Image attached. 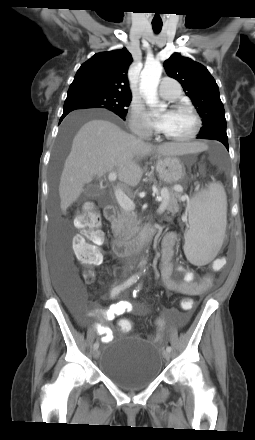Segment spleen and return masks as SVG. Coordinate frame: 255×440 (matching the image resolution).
<instances>
[{
  "label": "spleen",
  "instance_id": "3e777b00",
  "mask_svg": "<svg viewBox=\"0 0 255 440\" xmlns=\"http://www.w3.org/2000/svg\"><path fill=\"white\" fill-rule=\"evenodd\" d=\"M190 227L185 233L184 252L195 265L209 263L222 246L227 224V200L223 187L211 183L199 192L189 207Z\"/></svg>",
  "mask_w": 255,
  "mask_h": 440
}]
</instances>
